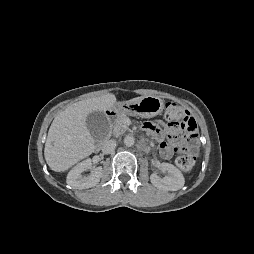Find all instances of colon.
Instances as JSON below:
<instances>
[{
	"label": "colon",
	"mask_w": 254,
	"mask_h": 254,
	"mask_svg": "<svg viewBox=\"0 0 254 254\" xmlns=\"http://www.w3.org/2000/svg\"><path fill=\"white\" fill-rule=\"evenodd\" d=\"M165 117L168 127L178 129L188 146H183L184 154L177 157L176 163L184 172H190L195 166V151L198 138V127L195 119L190 116L187 109L175 102H168L165 106Z\"/></svg>",
	"instance_id": "obj_1"
}]
</instances>
